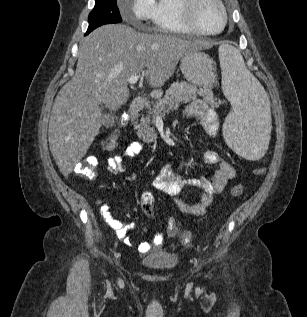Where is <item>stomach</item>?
Instances as JSON below:
<instances>
[{
	"mask_svg": "<svg viewBox=\"0 0 307 317\" xmlns=\"http://www.w3.org/2000/svg\"><path fill=\"white\" fill-rule=\"evenodd\" d=\"M180 69L185 79L194 85L212 87L216 81L212 58L199 50H190L180 61Z\"/></svg>",
	"mask_w": 307,
	"mask_h": 317,
	"instance_id": "stomach-1",
	"label": "stomach"
}]
</instances>
